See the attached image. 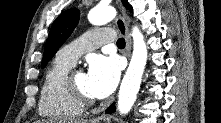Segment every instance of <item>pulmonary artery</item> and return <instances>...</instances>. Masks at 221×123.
<instances>
[{
    "instance_id": "1",
    "label": "pulmonary artery",
    "mask_w": 221,
    "mask_h": 123,
    "mask_svg": "<svg viewBox=\"0 0 221 123\" xmlns=\"http://www.w3.org/2000/svg\"><path fill=\"white\" fill-rule=\"evenodd\" d=\"M114 40V32L108 28L93 29L66 45L58 52V57L74 65L80 55Z\"/></svg>"
}]
</instances>
